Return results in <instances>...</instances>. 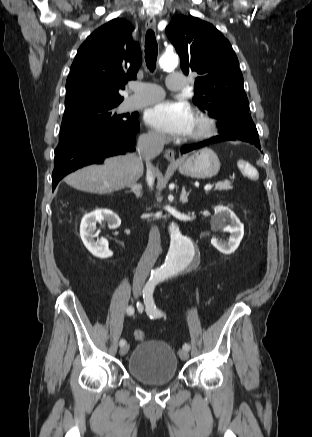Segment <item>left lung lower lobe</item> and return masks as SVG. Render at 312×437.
Returning <instances> with one entry per match:
<instances>
[{"label":"left lung lower lobe","instance_id":"0a47b994","mask_svg":"<svg viewBox=\"0 0 312 437\" xmlns=\"http://www.w3.org/2000/svg\"><path fill=\"white\" fill-rule=\"evenodd\" d=\"M227 140H235V139L233 137H231V136H227V135H223V134L222 135H218L216 137H213V138H211L209 140L203 141V142L195 144V145L183 146L181 148V153H186V152L195 150L197 148H201V147L207 146V145L212 144V143H217V142L227 141ZM251 144L255 145L258 149H261L260 142H253Z\"/></svg>","mask_w":312,"mask_h":437}]
</instances>
